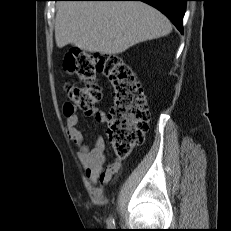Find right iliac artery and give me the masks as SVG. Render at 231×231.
Returning <instances> with one entry per match:
<instances>
[{"label": "right iliac artery", "instance_id": "82829eb1", "mask_svg": "<svg viewBox=\"0 0 231 231\" xmlns=\"http://www.w3.org/2000/svg\"><path fill=\"white\" fill-rule=\"evenodd\" d=\"M107 226L110 229H113L115 227L114 219L112 217H109L107 220Z\"/></svg>", "mask_w": 231, "mask_h": 231}]
</instances>
